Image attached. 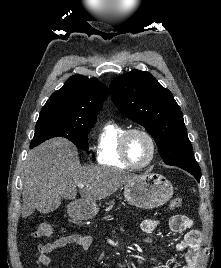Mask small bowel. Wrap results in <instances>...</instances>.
Returning a JSON list of instances; mask_svg holds the SVG:
<instances>
[{
    "instance_id": "c3829d8e",
    "label": "small bowel",
    "mask_w": 221,
    "mask_h": 268,
    "mask_svg": "<svg viewBox=\"0 0 221 268\" xmlns=\"http://www.w3.org/2000/svg\"><path fill=\"white\" fill-rule=\"evenodd\" d=\"M159 225L156 219H145L141 223V229L145 233L153 232ZM192 220L185 215H174L170 219V228L175 232L187 233L183 239L176 244L177 251L184 254L185 263L181 268H195L198 262L202 234L198 229L192 228ZM93 243L90 235L71 234L59 237L49 243L38 245L39 255L36 263L40 266H49L51 263L50 254L68 245H74L87 250Z\"/></svg>"
}]
</instances>
